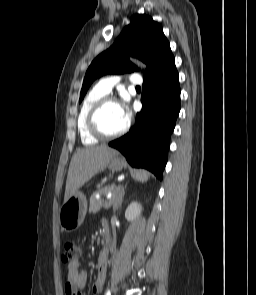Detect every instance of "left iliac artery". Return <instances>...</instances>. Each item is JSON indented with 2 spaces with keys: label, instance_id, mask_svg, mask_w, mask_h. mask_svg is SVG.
I'll return each instance as SVG.
<instances>
[{
  "label": "left iliac artery",
  "instance_id": "left-iliac-artery-1",
  "mask_svg": "<svg viewBox=\"0 0 256 295\" xmlns=\"http://www.w3.org/2000/svg\"><path fill=\"white\" fill-rule=\"evenodd\" d=\"M105 295H111V291H110V289L107 290V292H106Z\"/></svg>",
  "mask_w": 256,
  "mask_h": 295
}]
</instances>
